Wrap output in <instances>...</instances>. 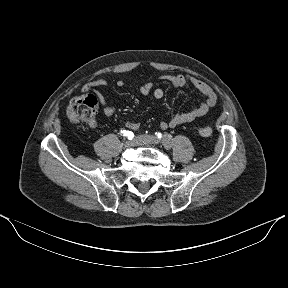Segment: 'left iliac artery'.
Returning a JSON list of instances; mask_svg holds the SVG:
<instances>
[{
  "label": "left iliac artery",
  "mask_w": 288,
  "mask_h": 288,
  "mask_svg": "<svg viewBox=\"0 0 288 288\" xmlns=\"http://www.w3.org/2000/svg\"><path fill=\"white\" fill-rule=\"evenodd\" d=\"M156 135H157V137L159 138V139H161L162 138V134L161 133H156Z\"/></svg>",
  "instance_id": "1"
}]
</instances>
